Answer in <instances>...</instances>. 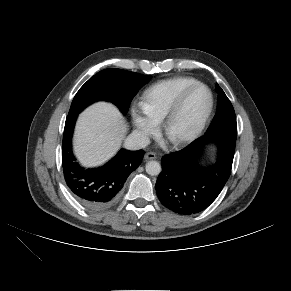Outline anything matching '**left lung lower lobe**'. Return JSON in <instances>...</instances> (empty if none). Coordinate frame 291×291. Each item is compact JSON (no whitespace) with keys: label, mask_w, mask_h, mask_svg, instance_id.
I'll list each match as a JSON object with an SVG mask.
<instances>
[{"label":"left lung lower lobe","mask_w":291,"mask_h":291,"mask_svg":"<svg viewBox=\"0 0 291 291\" xmlns=\"http://www.w3.org/2000/svg\"><path fill=\"white\" fill-rule=\"evenodd\" d=\"M236 137L237 130L233 129L206 132L184 149L164 156L156 182L161 203L182 215L196 214L210 206L230 176ZM211 141L218 144L217 162L212 167L199 168L195 158Z\"/></svg>","instance_id":"obj_1"}]
</instances>
